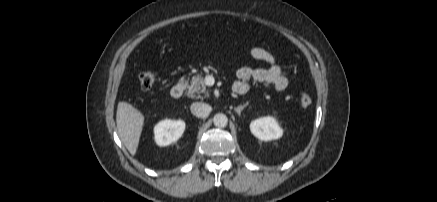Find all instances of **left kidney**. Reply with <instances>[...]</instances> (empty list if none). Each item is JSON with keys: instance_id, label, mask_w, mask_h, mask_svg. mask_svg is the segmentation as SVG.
Listing matches in <instances>:
<instances>
[{"instance_id": "5707ae66", "label": "left kidney", "mask_w": 437, "mask_h": 202, "mask_svg": "<svg viewBox=\"0 0 437 202\" xmlns=\"http://www.w3.org/2000/svg\"><path fill=\"white\" fill-rule=\"evenodd\" d=\"M251 133L262 141L276 140L282 137L283 130L273 117H262L250 123Z\"/></svg>"}]
</instances>
